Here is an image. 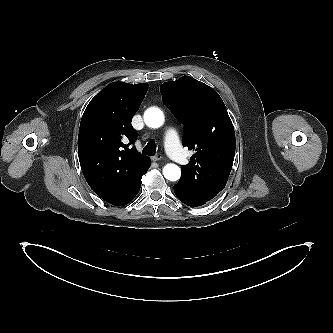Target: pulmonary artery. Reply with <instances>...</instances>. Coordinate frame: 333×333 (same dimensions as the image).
<instances>
[{"label":"pulmonary artery","instance_id":"obj_1","mask_svg":"<svg viewBox=\"0 0 333 333\" xmlns=\"http://www.w3.org/2000/svg\"><path fill=\"white\" fill-rule=\"evenodd\" d=\"M165 148L168 154L177 162L183 163L186 160L181 147L180 138L174 128H168L164 136Z\"/></svg>","mask_w":333,"mask_h":333}]
</instances>
